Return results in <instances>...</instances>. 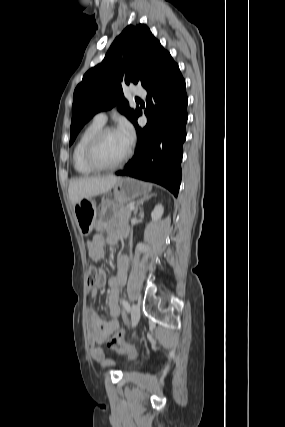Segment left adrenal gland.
I'll return each instance as SVG.
<instances>
[{
	"mask_svg": "<svg viewBox=\"0 0 285 427\" xmlns=\"http://www.w3.org/2000/svg\"><path fill=\"white\" fill-rule=\"evenodd\" d=\"M152 196H153V194H151V195H150V196H148L147 198H144V199L140 200V201L137 203L136 208H135V210H134V215H136V214L138 213V210H139V209H140V207L143 205L144 201H145V200H149V198H151Z\"/></svg>",
	"mask_w": 285,
	"mask_h": 427,
	"instance_id": "left-adrenal-gland-1",
	"label": "left adrenal gland"
}]
</instances>
